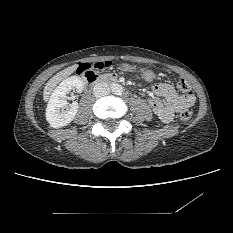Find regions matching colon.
Listing matches in <instances>:
<instances>
[{
  "label": "colon",
  "mask_w": 233,
  "mask_h": 233,
  "mask_svg": "<svg viewBox=\"0 0 233 233\" xmlns=\"http://www.w3.org/2000/svg\"><path fill=\"white\" fill-rule=\"evenodd\" d=\"M110 62H104V61H99L96 63H81L77 67V74H79L82 78H91L94 74H96V71H101L104 69H107L111 67ZM177 87L178 89L183 93L184 98L191 103L193 101V92L192 89L189 85V83L184 80L180 79L177 82ZM192 114V111L190 108L185 109L181 114H180V120L181 121H187L190 119Z\"/></svg>",
  "instance_id": "1"
}]
</instances>
